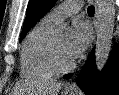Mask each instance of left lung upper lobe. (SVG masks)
Listing matches in <instances>:
<instances>
[{"label": "left lung upper lobe", "instance_id": "obj_1", "mask_svg": "<svg viewBox=\"0 0 119 95\" xmlns=\"http://www.w3.org/2000/svg\"><path fill=\"white\" fill-rule=\"evenodd\" d=\"M57 2V0H30L27 8V16L23 31L20 36L22 40L27 32L33 27Z\"/></svg>", "mask_w": 119, "mask_h": 95}]
</instances>
